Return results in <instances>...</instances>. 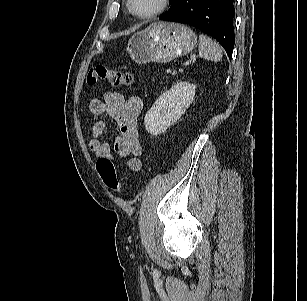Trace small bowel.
Listing matches in <instances>:
<instances>
[{
	"mask_svg": "<svg viewBox=\"0 0 307 301\" xmlns=\"http://www.w3.org/2000/svg\"><path fill=\"white\" fill-rule=\"evenodd\" d=\"M142 106L140 97L127 98L119 92H108L103 99L94 98L89 105L91 114L95 116L106 114L117 122L119 133L114 141V150L119 156L128 158L125 166L134 171L141 168L138 118ZM105 130L106 122L104 120H98L93 124L89 148L97 157L112 159L109 143L101 139Z\"/></svg>",
	"mask_w": 307,
	"mask_h": 301,
	"instance_id": "c3829d8e",
	"label": "small bowel"
}]
</instances>
